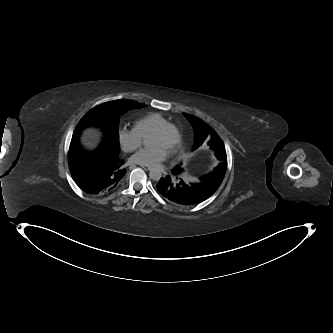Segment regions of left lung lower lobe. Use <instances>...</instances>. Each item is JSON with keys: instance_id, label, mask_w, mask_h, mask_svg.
I'll return each mask as SVG.
<instances>
[{"instance_id": "0a47b994", "label": "left lung lower lobe", "mask_w": 333, "mask_h": 333, "mask_svg": "<svg viewBox=\"0 0 333 333\" xmlns=\"http://www.w3.org/2000/svg\"><path fill=\"white\" fill-rule=\"evenodd\" d=\"M215 155L221 154V147L209 144ZM158 192L167 200L182 205H193L208 199L215 191L204 182L186 180L172 170V174L162 177L157 184Z\"/></svg>"}]
</instances>
